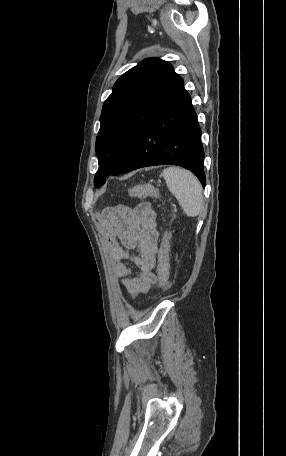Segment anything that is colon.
I'll return each instance as SVG.
<instances>
[{
	"mask_svg": "<svg viewBox=\"0 0 286 456\" xmlns=\"http://www.w3.org/2000/svg\"><path fill=\"white\" fill-rule=\"evenodd\" d=\"M157 192L158 188L153 185L139 184L132 186L129 189L128 194L132 197H147L154 196ZM158 278L160 286L162 288H167L169 285V256L166 243L159 253Z\"/></svg>",
	"mask_w": 286,
	"mask_h": 456,
	"instance_id": "1",
	"label": "colon"
}]
</instances>
